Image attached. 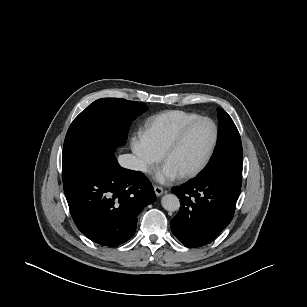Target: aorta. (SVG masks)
<instances>
[{"label":"aorta","instance_id":"762f6f07","mask_svg":"<svg viewBox=\"0 0 307 307\" xmlns=\"http://www.w3.org/2000/svg\"><path fill=\"white\" fill-rule=\"evenodd\" d=\"M162 207L167 211H177L180 208V200L174 194H166L161 199Z\"/></svg>","mask_w":307,"mask_h":307}]
</instances>
